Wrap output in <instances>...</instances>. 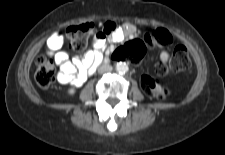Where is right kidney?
<instances>
[{"label": "right kidney", "instance_id": "obj_1", "mask_svg": "<svg viewBox=\"0 0 225 155\" xmlns=\"http://www.w3.org/2000/svg\"><path fill=\"white\" fill-rule=\"evenodd\" d=\"M68 93H69V94H74V93H75V90H74V89H70V90L68 91Z\"/></svg>", "mask_w": 225, "mask_h": 155}]
</instances>
